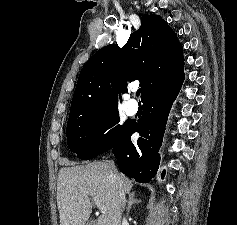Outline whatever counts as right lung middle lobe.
I'll return each mask as SVG.
<instances>
[{"instance_id":"right-lung-middle-lobe-1","label":"right lung middle lobe","mask_w":237,"mask_h":225,"mask_svg":"<svg viewBox=\"0 0 237 225\" xmlns=\"http://www.w3.org/2000/svg\"><path fill=\"white\" fill-rule=\"evenodd\" d=\"M128 124H120L117 108L87 118L70 114L66 130L69 149L80 159L94 158L110 150Z\"/></svg>"}]
</instances>
